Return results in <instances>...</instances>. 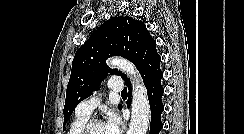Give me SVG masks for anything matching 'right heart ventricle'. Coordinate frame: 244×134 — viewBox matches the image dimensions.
Wrapping results in <instances>:
<instances>
[{
  "label": "right heart ventricle",
  "instance_id": "obj_1",
  "mask_svg": "<svg viewBox=\"0 0 244 134\" xmlns=\"http://www.w3.org/2000/svg\"><path fill=\"white\" fill-rule=\"evenodd\" d=\"M89 116L76 114L70 123L67 134H78L81 127L88 121Z\"/></svg>",
  "mask_w": 244,
  "mask_h": 134
}]
</instances>
